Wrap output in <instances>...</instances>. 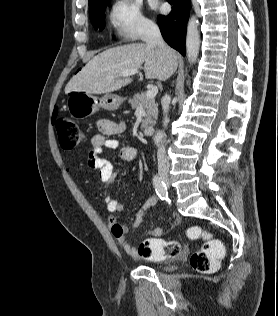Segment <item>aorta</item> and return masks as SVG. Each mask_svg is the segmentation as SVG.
Segmentation results:
<instances>
[{
	"label": "aorta",
	"mask_w": 278,
	"mask_h": 316,
	"mask_svg": "<svg viewBox=\"0 0 278 316\" xmlns=\"http://www.w3.org/2000/svg\"><path fill=\"white\" fill-rule=\"evenodd\" d=\"M200 49V32H199V21L196 16H192L189 19L187 25V35H186V50L187 57L190 63H194L198 57ZM163 138V134L158 132L154 136L155 144H158Z\"/></svg>",
	"instance_id": "1"
}]
</instances>
